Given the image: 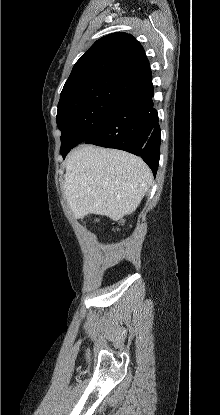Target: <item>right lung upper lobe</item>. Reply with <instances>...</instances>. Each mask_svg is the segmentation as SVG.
I'll return each mask as SVG.
<instances>
[{
    "mask_svg": "<svg viewBox=\"0 0 220 415\" xmlns=\"http://www.w3.org/2000/svg\"><path fill=\"white\" fill-rule=\"evenodd\" d=\"M107 77L137 87L152 80L145 51L131 34L112 33L97 40L75 63L63 90L80 82Z\"/></svg>",
    "mask_w": 220,
    "mask_h": 415,
    "instance_id": "right-lung-upper-lobe-1",
    "label": "right lung upper lobe"
}]
</instances>
